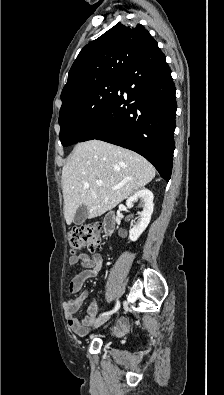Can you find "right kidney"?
<instances>
[{
    "label": "right kidney",
    "mask_w": 224,
    "mask_h": 395,
    "mask_svg": "<svg viewBox=\"0 0 224 395\" xmlns=\"http://www.w3.org/2000/svg\"><path fill=\"white\" fill-rule=\"evenodd\" d=\"M153 198V193L150 190L141 189L127 199L126 205L128 208L133 207L134 202L138 199L143 203V211L137 223L130 229L129 237L131 241H136L147 228L153 212Z\"/></svg>",
    "instance_id": "right-kidney-1"
}]
</instances>
